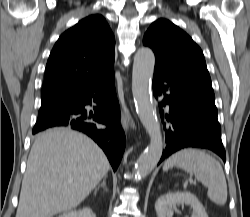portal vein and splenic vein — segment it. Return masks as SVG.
<instances>
[{"label": "portal vein and splenic vein", "mask_w": 250, "mask_h": 217, "mask_svg": "<svg viewBox=\"0 0 250 217\" xmlns=\"http://www.w3.org/2000/svg\"><path fill=\"white\" fill-rule=\"evenodd\" d=\"M190 182H191L192 184H196V181H194V180H190Z\"/></svg>", "instance_id": "portal-vein-and-splenic-vein-1"}]
</instances>
